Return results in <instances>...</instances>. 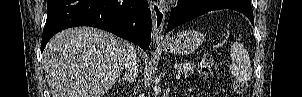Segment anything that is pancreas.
I'll use <instances>...</instances> for the list:
<instances>
[{"label": "pancreas", "mask_w": 302, "mask_h": 97, "mask_svg": "<svg viewBox=\"0 0 302 97\" xmlns=\"http://www.w3.org/2000/svg\"><path fill=\"white\" fill-rule=\"evenodd\" d=\"M195 68H196V63L191 61H185L177 65L178 71L182 72L185 75H187L188 73H193Z\"/></svg>", "instance_id": "pancreas-1"}]
</instances>
